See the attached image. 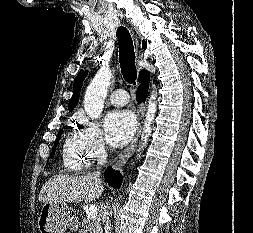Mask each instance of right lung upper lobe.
<instances>
[{
	"label": "right lung upper lobe",
	"instance_id": "obj_1",
	"mask_svg": "<svg viewBox=\"0 0 253 233\" xmlns=\"http://www.w3.org/2000/svg\"><path fill=\"white\" fill-rule=\"evenodd\" d=\"M146 47H147V43L145 41H143L142 48L146 49ZM143 71L144 70H142L141 72H143ZM86 75H87V71L84 72L83 70H81L78 73L77 77L75 78L74 85H73V96L70 99V102L68 105L69 111H72L78 103L79 96H80V89H81L83 80L85 79Z\"/></svg>",
	"mask_w": 253,
	"mask_h": 233
}]
</instances>
